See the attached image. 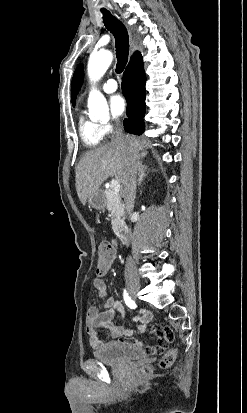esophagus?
<instances>
[{"mask_svg":"<svg viewBox=\"0 0 247 413\" xmlns=\"http://www.w3.org/2000/svg\"><path fill=\"white\" fill-rule=\"evenodd\" d=\"M128 33H129V39H130L132 51L136 50L138 48L137 42L135 41L134 36L132 35V32L130 30Z\"/></svg>","mask_w":247,"mask_h":413,"instance_id":"obj_1","label":"esophagus"}]
</instances>
